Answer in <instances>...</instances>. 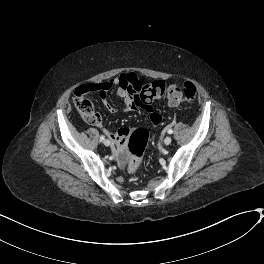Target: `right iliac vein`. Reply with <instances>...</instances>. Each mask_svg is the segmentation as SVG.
I'll use <instances>...</instances> for the list:
<instances>
[{
	"instance_id": "1",
	"label": "right iliac vein",
	"mask_w": 264,
	"mask_h": 264,
	"mask_svg": "<svg viewBox=\"0 0 264 264\" xmlns=\"http://www.w3.org/2000/svg\"><path fill=\"white\" fill-rule=\"evenodd\" d=\"M103 143H104L105 146H109L110 145V141L108 139L104 140Z\"/></svg>"
}]
</instances>
